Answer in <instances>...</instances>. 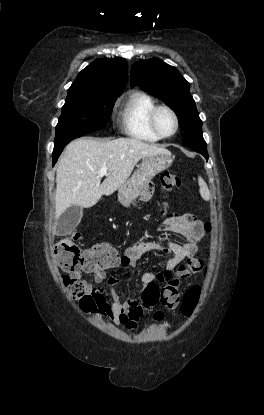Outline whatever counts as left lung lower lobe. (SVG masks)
<instances>
[{
	"label": "left lung lower lobe",
	"mask_w": 264,
	"mask_h": 415,
	"mask_svg": "<svg viewBox=\"0 0 264 415\" xmlns=\"http://www.w3.org/2000/svg\"><path fill=\"white\" fill-rule=\"evenodd\" d=\"M184 146L190 147L194 151L202 154L206 160H208L207 144H183Z\"/></svg>",
	"instance_id": "left-lung-lower-lobe-1"
}]
</instances>
